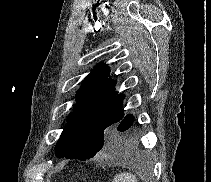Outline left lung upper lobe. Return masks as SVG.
<instances>
[{"label": "left lung upper lobe", "instance_id": "left-lung-upper-lobe-1", "mask_svg": "<svg viewBox=\"0 0 211 182\" xmlns=\"http://www.w3.org/2000/svg\"><path fill=\"white\" fill-rule=\"evenodd\" d=\"M109 73V66L99 63L83 80L76 107L55 148L58 157L86 160L107 146L112 130L124 117V94H117Z\"/></svg>", "mask_w": 211, "mask_h": 182}]
</instances>
